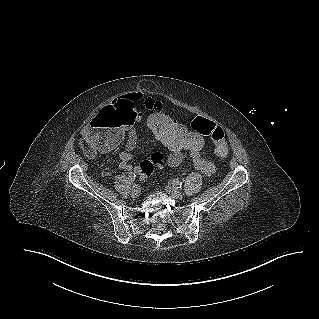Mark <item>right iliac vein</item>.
I'll use <instances>...</instances> for the list:
<instances>
[{"label": "right iliac vein", "mask_w": 319, "mask_h": 319, "mask_svg": "<svg viewBox=\"0 0 319 319\" xmlns=\"http://www.w3.org/2000/svg\"><path fill=\"white\" fill-rule=\"evenodd\" d=\"M131 195L133 197H138L140 195V187L138 185H134L131 190Z\"/></svg>", "instance_id": "obj_1"}]
</instances>
